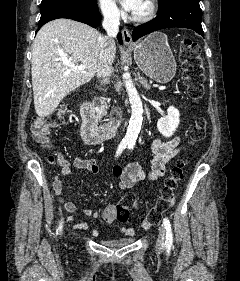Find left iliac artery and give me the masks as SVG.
<instances>
[{
  "instance_id": "obj_1",
  "label": "left iliac artery",
  "mask_w": 240,
  "mask_h": 281,
  "mask_svg": "<svg viewBox=\"0 0 240 281\" xmlns=\"http://www.w3.org/2000/svg\"><path fill=\"white\" fill-rule=\"evenodd\" d=\"M134 144L131 143L128 145L129 149H133ZM163 224L164 227L166 229V241H165V246L166 248L169 250L172 246V242H173V234H172V230H171V224L168 218H164L163 219Z\"/></svg>"
}]
</instances>
